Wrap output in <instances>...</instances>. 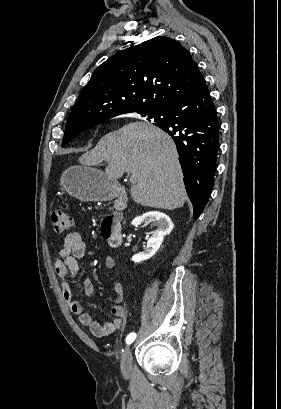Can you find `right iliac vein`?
<instances>
[{"mask_svg":"<svg viewBox=\"0 0 281 409\" xmlns=\"http://www.w3.org/2000/svg\"><path fill=\"white\" fill-rule=\"evenodd\" d=\"M132 364V353L129 346L125 348L123 357H122V370L123 372H128Z\"/></svg>","mask_w":281,"mask_h":409,"instance_id":"1","label":"right iliac vein"}]
</instances>
